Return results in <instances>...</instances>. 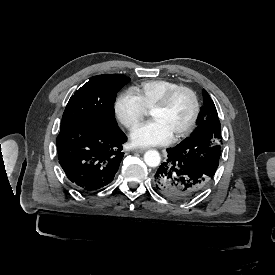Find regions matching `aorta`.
Listing matches in <instances>:
<instances>
[{"label": "aorta", "instance_id": "aorta-1", "mask_svg": "<svg viewBox=\"0 0 275 275\" xmlns=\"http://www.w3.org/2000/svg\"><path fill=\"white\" fill-rule=\"evenodd\" d=\"M144 161L147 166L156 168L160 165L161 157L156 150H149L144 154Z\"/></svg>", "mask_w": 275, "mask_h": 275}]
</instances>
